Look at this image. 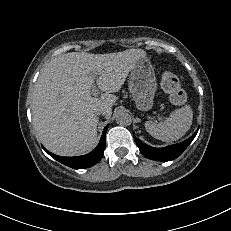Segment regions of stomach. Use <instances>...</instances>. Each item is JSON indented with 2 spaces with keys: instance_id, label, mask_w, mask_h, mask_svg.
I'll use <instances>...</instances> for the list:
<instances>
[{
  "instance_id": "1",
  "label": "stomach",
  "mask_w": 231,
  "mask_h": 231,
  "mask_svg": "<svg viewBox=\"0 0 231 231\" xmlns=\"http://www.w3.org/2000/svg\"><path fill=\"white\" fill-rule=\"evenodd\" d=\"M129 92L140 111H148L153 106L157 90L155 72L147 57L141 58L131 70Z\"/></svg>"
}]
</instances>
